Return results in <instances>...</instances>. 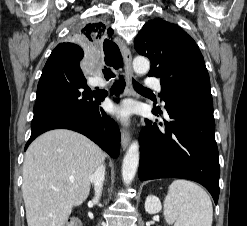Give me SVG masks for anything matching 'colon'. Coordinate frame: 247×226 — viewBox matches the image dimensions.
Instances as JSON below:
<instances>
[{
	"mask_svg": "<svg viewBox=\"0 0 247 226\" xmlns=\"http://www.w3.org/2000/svg\"><path fill=\"white\" fill-rule=\"evenodd\" d=\"M65 226H82V223L77 218H70V219L67 220Z\"/></svg>",
	"mask_w": 247,
	"mask_h": 226,
	"instance_id": "1",
	"label": "colon"
}]
</instances>
